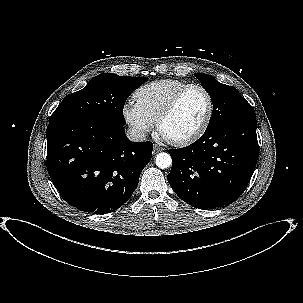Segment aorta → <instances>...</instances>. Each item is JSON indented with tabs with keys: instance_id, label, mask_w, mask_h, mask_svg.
Returning a JSON list of instances; mask_svg holds the SVG:
<instances>
[{
	"instance_id": "762f6f07",
	"label": "aorta",
	"mask_w": 303,
	"mask_h": 303,
	"mask_svg": "<svg viewBox=\"0 0 303 303\" xmlns=\"http://www.w3.org/2000/svg\"><path fill=\"white\" fill-rule=\"evenodd\" d=\"M156 166L160 169H165L171 166L172 158L168 153L161 152L156 156Z\"/></svg>"
}]
</instances>
